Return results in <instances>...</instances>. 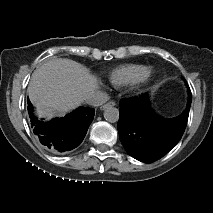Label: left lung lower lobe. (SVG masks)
<instances>
[{"mask_svg":"<svg viewBox=\"0 0 213 213\" xmlns=\"http://www.w3.org/2000/svg\"><path fill=\"white\" fill-rule=\"evenodd\" d=\"M188 88L185 111L173 119H164L150 109L146 95L120 101L118 131L120 141L133 158L154 162L168 153L181 139L192 101Z\"/></svg>","mask_w":213,"mask_h":213,"instance_id":"0a47b994","label":"left lung lower lobe"}]
</instances>
